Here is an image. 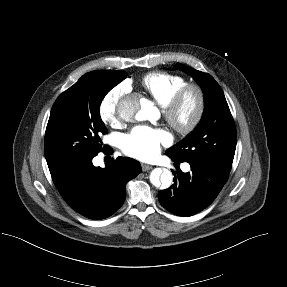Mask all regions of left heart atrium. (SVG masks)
<instances>
[{
	"label": "left heart atrium",
	"mask_w": 287,
	"mask_h": 287,
	"mask_svg": "<svg viewBox=\"0 0 287 287\" xmlns=\"http://www.w3.org/2000/svg\"><path fill=\"white\" fill-rule=\"evenodd\" d=\"M170 142L169 134L159 128L136 126L121 139L122 151L139 160H151L160 151L161 145Z\"/></svg>",
	"instance_id": "1"
}]
</instances>
